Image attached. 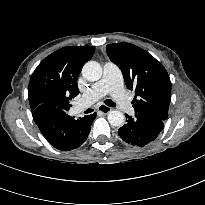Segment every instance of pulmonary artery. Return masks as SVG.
I'll list each match as a JSON object with an SVG mask.
<instances>
[{"instance_id":"pulmonary-artery-1","label":"pulmonary artery","mask_w":205,"mask_h":205,"mask_svg":"<svg viewBox=\"0 0 205 205\" xmlns=\"http://www.w3.org/2000/svg\"><path fill=\"white\" fill-rule=\"evenodd\" d=\"M107 93H110L119 108L128 114L134 113L130 98L123 88V80L120 69L113 63L108 62L103 67L102 78L94 83L82 96L80 107H86Z\"/></svg>"}]
</instances>
